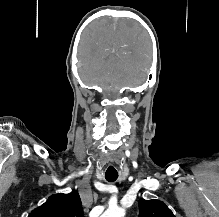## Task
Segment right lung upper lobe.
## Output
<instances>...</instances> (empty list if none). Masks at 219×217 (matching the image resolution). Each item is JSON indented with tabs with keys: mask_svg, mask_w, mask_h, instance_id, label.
<instances>
[{
	"mask_svg": "<svg viewBox=\"0 0 219 217\" xmlns=\"http://www.w3.org/2000/svg\"><path fill=\"white\" fill-rule=\"evenodd\" d=\"M28 217H84V214L79 194L73 191L69 194L60 193L50 196Z\"/></svg>",
	"mask_w": 219,
	"mask_h": 217,
	"instance_id": "cb5924a9",
	"label": "right lung upper lobe"
}]
</instances>
